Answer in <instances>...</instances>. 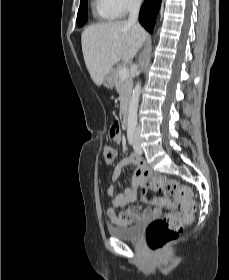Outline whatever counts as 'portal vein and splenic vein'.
Returning <instances> with one entry per match:
<instances>
[{
    "mask_svg": "<svg viewBox=\"0 0 229 280\" xmlns=\"http://www.w3.org/2000/svg\"><path fill=\"white\" fill-rule=\"evenodd\" d=\"M128 75H129V70H128V68L123 67V68L120 70V77H121V79H125L126 77H128Z\"/></svg>",
    "mask_w": 229,
    "mask_h": 280,
    "instance_id": "obj_1",
    "label": "portal vein and splenic vein"
}]
</instances>
